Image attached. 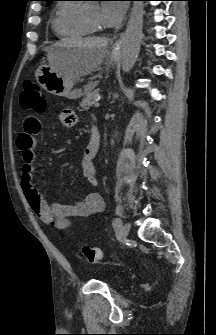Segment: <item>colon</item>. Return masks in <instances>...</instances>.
Here are the masks:
<instances>
[{
    "label": "colon",
    "instance_id": "obj_1",
    "mask_svg": "<svg viewBox=\"0 0 216 335\" xmlns=\"http://www.w3.org/2000/svg\"><path fill=\"white\" fill-rule=\"evenodd\" d=\"M21 103L27 110L35 113H42L47 108V99L40 86L33 80L24 82V91L21 96ZM81 252L87 262L94 264L99 262L102 257L101 250L97 247L84 245Z\"/></svg>",
    "mask_w": 216,
    "mask_h": 335
}]
</instances>
